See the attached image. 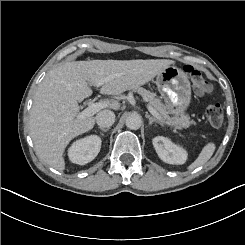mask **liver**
Segmentation results:
<instances>
[{"label": "liver", "mask_w": 245, "mask_h": 245, "mask_svg": "<svg viewBox=\"0 0 245 245\" xmlns=\"http://www.w3.org/2000/svg\"><path fill=\"white\" fill-rule=\"evenodd\" d=\"M172 63L165 59L73 61L49 71L35 93L29 119L37 155L54 169H65L66 146L95 124L92 116L77 119L78 102L92 94L88 83L101 87L102 94L118 95L144 85ZM109 107L117 110L120 104L113 101Z\"/></svg>", "instance_id": "6515ba94"}]
</instances>
